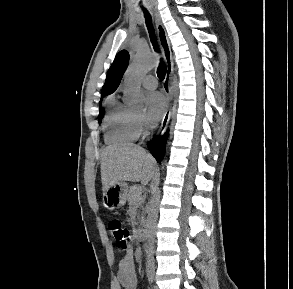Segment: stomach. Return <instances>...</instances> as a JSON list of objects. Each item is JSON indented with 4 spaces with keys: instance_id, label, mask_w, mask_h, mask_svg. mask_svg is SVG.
Here are the masks:
<instances>
[{
    "instance_id": "stomach-1",
    "label": "stomach",
    "mask_w": 293,
    "mask_h": 289,
    "mask_svg": "<svg viewBox=\"0 0 293 289\" xmlns=\"http://www.w3.org/2000/svg\"><path fill=\"white\" fill-rule=\"evenodd\" d=\"M128 195V186L124 182H117L103 192V205L109 210L123 207Z\"/></svg>"
}]
</instances>
